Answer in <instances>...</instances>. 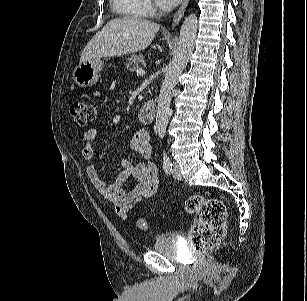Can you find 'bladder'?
<instances>
[{
	"instance_id": "bladder-1",
	"label": "bladder",
	"mask_w": 307,
	"mask_h": 301,
	"mask_svg": "<svg viewBox=\"0 0 307 301\" xmlns=\"http://www.w3.org/2000/svg\"><path fill=\"white\" fill-rule=\"evenodd\" d=\"M179 235L176 232H168L155 238L151 249L170 258H177L180 246Z\"/></svg>"
}]
</instances>
